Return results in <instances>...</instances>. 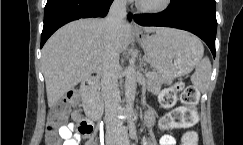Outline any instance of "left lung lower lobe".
Wrapping results in <instances>:
<instances>
[{
  "label": "left lung lower lobe",
  "mask_w": 243,
  "mask_h": 145,
  "mask_svg": "<svg viewBox=\"0 0 243 145\" xmlns=\"http://www.w3.org/2000/svg\"><path fill=\"white\" fill-rule=\"evenodd\" d=\"M136 23L143 26H162L187 30L200 37L215 57L217 21L215 12H195L176 3L156 14H136Z\"/></svg>",
  "instance_id": "1"
}]
</instances>
